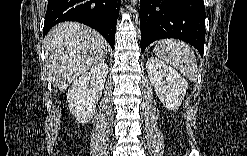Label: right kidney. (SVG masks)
<instances>
[{"label":"right kidney","mask_w":247,"mask_h":156,"mask_svg":"<svg viewBox=\"0 0 247 156\" xmlns=\"http://www.w3.org/2000/svg\"><path fill=\"white\" fill-rule=\"evenodd\" d=\"M108 65L99 63L78 76L67 93L70 112L80 123H87L96 113V104L104 89Z\"/></svg>","instance_id":"ca27d5eb"}]
</instances>
